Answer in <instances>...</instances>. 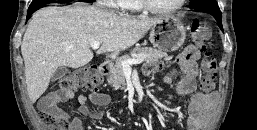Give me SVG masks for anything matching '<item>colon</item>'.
Returning <instances> with one entry per match:
<instances>
[{"instance_id":"colon-1","label":"colon","mask_w":257,"mask_h":130,"mask_svg":"<svg viewBox=\"0 0 257 130\" xmlns=\"http://www.w3.org/2000/svg\"><path fill=\"white\" fill-rule=\"evenodd\" d=\"M191 34L194 42L202 45L205 50L201 60L202 77L200 79V90L208 94L215 89L217 81L216 62L211 50H208L205 45L210 39L211 32L199 20H195L192 23ZM101 83L102 77L96 67L81 68L71 76L65 77L60 81L58 95L62 99H68L78 88L93 92L100 87ZM39 118L47 130H70V122L67 116L55 110L42 109Z\"/></svg>"}]
</instances>
